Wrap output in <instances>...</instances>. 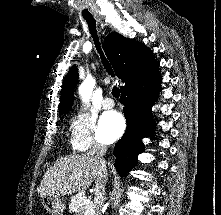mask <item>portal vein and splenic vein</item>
Masks as SVG:
<instances>
[{
	"mask_svg": "<svg viewBox=\"0 0 221 215\" xmlns=\"http://www.w3.org/2000/svg\"><path fill=\"white\" fill-rule=\"evenodd\" d=\"M89 202H90V200H89V199H86L83 203H81V206L88 205Z\"/></svg>",
	"mask_w": 221,
	"mask_h": 215,
	"instance_id": "obj_1",
	"label": "portal vein and splenic vein"
}]
</instances>
